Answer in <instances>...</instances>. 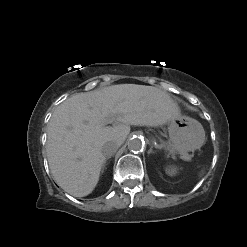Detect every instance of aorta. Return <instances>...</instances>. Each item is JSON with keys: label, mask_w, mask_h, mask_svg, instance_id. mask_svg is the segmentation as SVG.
Listing matches in <instances>:
<instances>
[{"label": "aorta", "mask_w": 247, "mask_h": 247, "mask_svg": "<svg viewBox=\"0 0 247 247\" xmlns=\"http://www.w3.org/2000/svg\"><path fill=\"white\" fill-rule=\"evenodd\" d=\"M145 141L139 136H133L128 141V149L131 152H139L144 148Z\"/></svg>", "instance_id": "aorta-1"}]
</instances>
